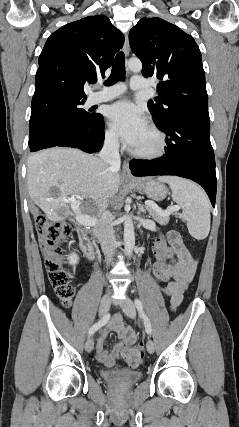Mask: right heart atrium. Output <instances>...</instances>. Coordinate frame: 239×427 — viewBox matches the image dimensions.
I'll list each match as a JSON object with an SVG mask.
<instances>
[{
  "label": "right heart atrium",
  "mask_w": 239,
  "mask_h": 427,
  "mask_svg": "<svg viewBox=\"0 0 239 427\" xmlns=\"http://www.w3.org/2000/svg\"><path fill=\"white\" fill-rule=\"evenodd\" d=\"M104 142L109 149L116 150L119 148V139L116 133L110 129L104 133Z\"/></svg>",
  "instance_id": "right-heart-atrium-1"
}]
</instances>
